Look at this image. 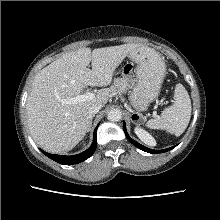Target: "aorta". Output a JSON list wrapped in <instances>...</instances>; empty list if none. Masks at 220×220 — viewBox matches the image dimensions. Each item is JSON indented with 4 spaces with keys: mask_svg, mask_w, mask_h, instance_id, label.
Here are the masks:
<instances>
[{
    "mask_svg": "<svg viewBox=\"0 0 220 220\" xmlns=\"http://www.w3.org/2000/svg\"><path fill=\"white\" fill-rule=\"evenodd\" d=\"M121 117H122V113L120 110H117V109L111 110L107 115V119L112 122L119 121L121 119Z\"/></svg>",
    "mask_w": 220,
    "mask_h": 220,
    "instance_id": "obj_1",
    "label": "aorta"
}]
</instances>
